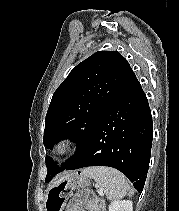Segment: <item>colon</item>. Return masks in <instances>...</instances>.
I'll use <instances>...</instances> for the list:
<instances>
[{
  "mask_svg": "<svg viewBox=\"0 0 179 211\" xmlns=\"http://www.w3.org/2000/svg\"><path fill=\"white\" fill-rule=\"evenodd\" d=\"M69 193H70V189L66 185H60L59 187L51 190L47 199L48 211H60ZM87 205L91 207L92 203L88 201Z\"/></svg>",
  "mask_w": 179,
  "mask_h": 211,
  "instance_id": "obj_1",
  "label": "colon"
}]
</instances>
